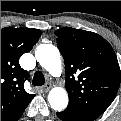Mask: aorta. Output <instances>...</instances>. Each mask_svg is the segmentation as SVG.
Here are the masks:
<instances>
[{"label": "aorta", "instance_id": "obj_1", "mask_svg": "<svg viewBox=\"0 0 121 121\" xmlns=\"http://www.w3.org/2000/svg\"><path fill=\"white\" fill-rule=\"evenodd\" d=\"M35 57L39 64L51 75H58L61 72V56L56 46L52 44H41L36 48ZM51 108L55 111H62L68 105V94L64 88L55 87L48 95Z\"/></svg>", "mask_w": 121, "mask_h": 121}]
</instances>
